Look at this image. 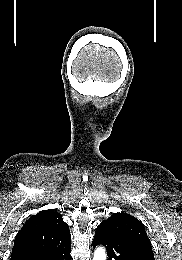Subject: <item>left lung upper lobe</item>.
<instances>
[{"label": "left lung upper lobe", "instance_id": "obj_1", "mask_svg": "<svg viewBox=\"0 0 182 260\" xmlns=\"http://www.w3.org/2000/svg\"><path fill=\"white\" fill-rule=\"evenodd\" d=\"M98 227L115 231L151 247L144 225L129 214L114 213Z\"/></svg>", "mask_w": 182, "mask_h": 260}]
</instances>
